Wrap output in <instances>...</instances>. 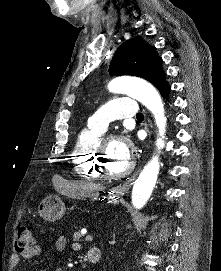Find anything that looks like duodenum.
Segmentation results:
<instances>
[{
    "instance_id": "410a0bca",
    "label": "duodenum",
    "mask_w": 221,
    "mask_h": 271,
    "mask_svg": "<svg viewBox=\"0 0 221 271\" xmlns=\"http://www.w3.org/2000/svg\"><path fill=\"white\" fill-rule=\"evenodd\" d=\"M102 257V251L99 248H92L88 253V259L92 263H98Z\"/></svg>"
}]
</instances>
